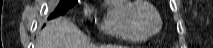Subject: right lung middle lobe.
Listing matches in <instances>:
<instances>
[{
	"mask_svg": "<svg viewBox=\"0 0 213 48\" xmlns=\"http://www.w3.org/2000/svg\"><path fill=\"white\" fill-rule=\"evenodd\" d=\"M77 3V0H60L54 12L50 15L49 19L65 14L70 8Z\"/></svg>",
	"mask_w": 213,
	"mask_h": 48,
	"instance_id": "dd1d6c3e",
	"label": "right lung middle lobe"
}]
</instances>
